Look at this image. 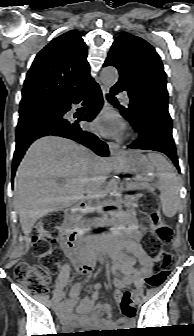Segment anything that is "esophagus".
Returning <instances> with one entry per match:
<instances>
[{"mask_svg":"<svg viewBox=\"0 0 194 336\" xmlns=\"http://www.w3.org/2000/svg\"><path fill=\"white\" fill-rule=\"evenodd\" d=\"M101 90H102V94L105 98V96L109 93V88L106 86H101ZM105 104H106V100H105ZM108 146H109V151L111 156H117V155H121L123 154L122 149L120 148V146L115 143V142H108Z\"/></svg>","mask_w":194,"mask_h":336,"instance_id":"obj_1","label":"esophagus"}]
</instances>
